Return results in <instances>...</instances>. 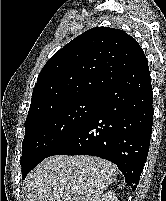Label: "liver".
I'll return each mask as SVG.
<instances>
[{
    "mask_svg": "<svg viewBox=\"0 0 166 201\" xmlns=\"http://www.w3.org/2000/svg\"><path fill=\"white\" fill-rule=\"evenodd\" d=\"M116 179V166L94 156L55 155L30 172L26 201H98Z\"/></svg>",
    "mask_w": 166,
    "mask_h": 201,
    "instance_id": "liver-1",
    "label": "liver"
}]
</instances>
